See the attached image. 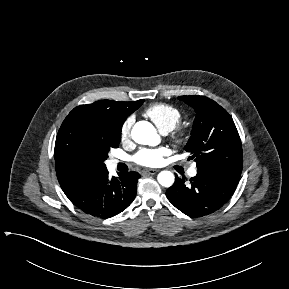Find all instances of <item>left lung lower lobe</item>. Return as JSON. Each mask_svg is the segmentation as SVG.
<instances>
[{
  "instance_id": "obj_1",
  "label": "left lung lower lobe",
  "mask_w": 289,
  "mask_h": 289,
  "mask_svg": "<svg viewBox=\"0 0 289 289\" xmlns=\"http://www.w3.org/2000/svg\"><path fill=\"white\" fill-rule=\"evenodd\" d=\"M239 177L211 169H198L197 175L185 184L175 178L166 191L168 200L190 217H202L222 207L234 193Z\"/></svg>"
}]
</instances>
